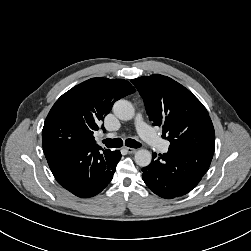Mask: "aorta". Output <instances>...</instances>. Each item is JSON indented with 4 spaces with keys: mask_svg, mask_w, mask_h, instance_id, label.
I'll list each match as a JSON object with an SVG mask.
<instances>
[{
    "mask_svg": "<svg viewBox=\"0 0 251 251\" xmlns=\"http://www.w3.org/2000/svg\"><path fill=\"white\" fill-rule=\"evenodd\" d=\"M113 112L120 120H131L135 115V109L133 105L124 99L116 101L113 105ZM135 163L140 167H146L151 163L152 155L146 149H140L135 153Z\"/></svg>",
    "mask_w": 251,
    "mask_h": 251,
    "instance_id": "1",
    "label": "aorta"
}]
</instances>
